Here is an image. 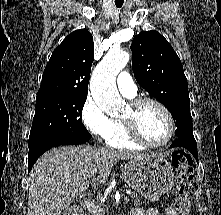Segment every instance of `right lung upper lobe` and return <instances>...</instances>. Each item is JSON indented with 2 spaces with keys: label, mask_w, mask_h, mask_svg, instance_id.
Wrapping results in <instances>:
<instances>
[{
  "label": "right lung upper lobe",
  "mask_w": 221,
  "mask_h": 215,
  "mask_svg": "<svg viewBox=\"0 0 221 215\" xmlns=\"http://www.w3.org/2000/svg\"><path fill=\"white\" fill-rule=\"evenodd\" d=\"M94 44L91 33L69 34L53 51L42 76L36 101L59 96H87Z\"/></svg>",
  "instance_id": "1"
}]
</instances>
